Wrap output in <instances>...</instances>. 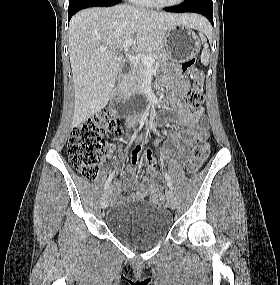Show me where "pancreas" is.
<instances>
[{"mask_svg":"<svg viewBox=\"0 0 280 285\" xmlns=\"http://www.w3.org/2000/svg\"><path fill=\"white\" fill-rule=\"evenodd\" d=\"M146 56H150L155 59L153 67H157L168 59V54L162 48H158L154 51L145 53L139 61L134 62L132 65L131 73L124 81V88L126 94H135L142 92V82L144 79L145 72L147 71V66L142 62V59Z\"/></svg>","mask_w":280,"mask_h":285,"instance_id":"obj_1","label":"pancreas"}]
</instances>
